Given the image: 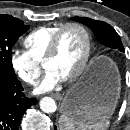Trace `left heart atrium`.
Segmentation results:
<instances>
[{"instance_id": "left-heart-atrium-1", "label": "left heart atrium", "mask_w": 130, "mask_h": 130, "mask_svg": "<svg viewBox=\"0 0 130 130\" xmlns=\"http://www.w3.org/2000/svg\"><path fill=\"white\" fill-rule=\"evenodd\" d=\"M62 81L61 76L53 70H47L42 81L36 88V93H44L53 90Z\"/></svg>"}]
</instances>
